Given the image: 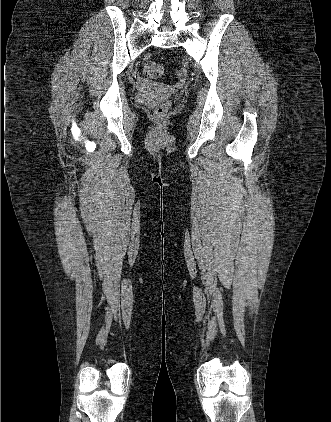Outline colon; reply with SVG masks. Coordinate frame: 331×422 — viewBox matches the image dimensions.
<instances>
[{
	"mask_svg": "<svg viewBox=\"0 0 331 422\" xmlns=\"http://www.w3.org/2000/svg\"><path fill=\"white\" fill-rule=\"evenodd\" d=\"M162 74H163V67L158 62H155V61L148 62L144 67V75L148 78H158L162 76ZM168 109H169L168 103H163L159 105L154 110L155 117L159 119L163 118L167 114Z\"/></svg>",
	"mask_w": 331,
	"mask_h": 422,
	"instance_id": "1",
	"label": "colon"
}]
</instances>
